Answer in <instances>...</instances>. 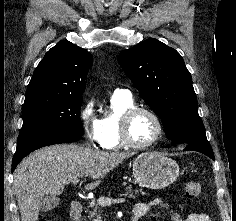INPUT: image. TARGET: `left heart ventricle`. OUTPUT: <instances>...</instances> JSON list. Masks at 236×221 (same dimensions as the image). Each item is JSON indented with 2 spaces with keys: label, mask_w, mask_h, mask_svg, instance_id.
<instances>
[{
  "label": "left heart ventricle",
  "mask_w": 236,
  "mask_h": 221,
  "mask_svg": "<svg viewBox=\"0 0 236 221\" xmlns=\"http://www.w3.org/2000/svg\"><path fill=\"white\" fill-rule=\"evenodd\" d=\"M129 131L134 142L145 144L155 137L157 126L150 115L139 113L132 119Z\"/></svg>",
  "instance_id": "obj_1"
}]
</instances>
